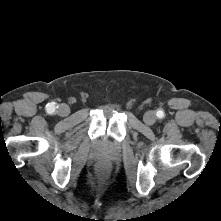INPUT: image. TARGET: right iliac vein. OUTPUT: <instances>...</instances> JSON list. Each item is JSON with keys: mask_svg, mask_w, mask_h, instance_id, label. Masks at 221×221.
<instances>
[{"mask_svg": "<svg viewBox=\"0 0 221 221\" xmlns=\"http://www.w3.org/2000/svg\"><path fill=\"white\" fill-rule=\"evenodd\" d=\"M70 113V109L68 107V105L66 104H61L58 108V114L62 117H66L68 116Z\"/></svg>", "mask_w": 221, "mask_h": 221, "instance_id": "right-iliac-vein-1", "label": "right iliac vein"}]
</instances>
